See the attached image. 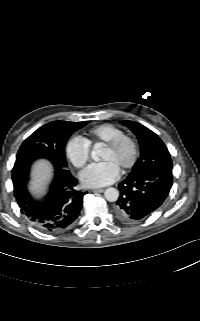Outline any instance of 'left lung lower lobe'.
Here are the masks:
<instances>
[{
    "label": "left lung lower lobe",
    "instance_id": "0a47b994",
    "mask_svg": "<svg viewBox=\"0 0 200 321\" xmlns=\"http://www.w3.org/2000/svg\"><path fill=\"white\" fill-rule=\"evenodd\" d=\"M173 183L172 170L148 168L131 172L119 183L120 197L115 213L123 222H135L148 217L159 208Z\"/></svg>",
    "mask_w": 200,
    "mask_h": 321
}]
</instances>
